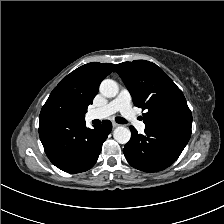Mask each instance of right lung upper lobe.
Listing matches in <instances>:
<instances>
[{
    "label": "right lung upper lobe",
    "mask_w": 224,
    "mask_h": 224,
    "mask_svg": "<svg viewBox=\"0 0 224 224\" xmlns=\"http://www.w3.org/2000/svg\"><path fill=\"white\" fill-rule=\"evenodd\" d=\"M114 64L92 62L67 75L53 91L65 93L87 109L96 96L101 81L113 70Z\"/></svg>",
    "instance_id": "cb5924a9"
}]
</instances>
